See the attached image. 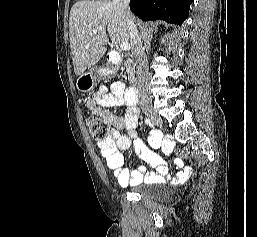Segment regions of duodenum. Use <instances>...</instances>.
<instances>
[{
	"instance_id": "1",
	"label": "duodenum",
	"mask_w": 257,
	"mask_h": 237,
	"mask_svg": "<svg viewBox=\"0 0 257 237\" xmlns=\"http://www.w3.org/2000/svg\"><path fill=\"white\" fill-rule=\"evenodd\" d=\"M125 97L126 100L131 103L134 104L138 101V92L135 86H129L125 89Z\"/></svg>"
}]
</instances>
